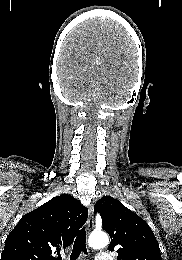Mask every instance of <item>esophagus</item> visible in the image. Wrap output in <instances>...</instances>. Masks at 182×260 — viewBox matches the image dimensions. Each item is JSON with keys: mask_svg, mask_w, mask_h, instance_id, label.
<instances>
[{"mask_svg": "<svg viewBox=\"0 0 182 260\" xmlns=\"http://www.w3.org/2000/svg\"><path fill=\"white\" fill-rule=\"evenodd\" d=\"M94 228V213L93 205H90L88 208V219H87V230L90 232Z\"/></svg>", "mask_w": 182, "mask_h": 260, "instance_id": "1", "label": "esophagus"}]
</instances>
